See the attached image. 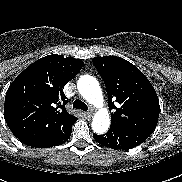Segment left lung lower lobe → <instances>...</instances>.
<instances>
[{"label":"left lung lower lobe","mask_w":182,"mask_h":182,"mask_svg":"<svg viewBox=\"0 0 182 182\" xmlns=\"http://www.w3.org/2000/svg\"><path fill=\"white\" fill-rule=\"evenodd\" d=\"M151 133L128 127L111 125L106 134H93V138L99 144L120 150H129L143 143Z\"/></svg>","instance_id":"0a47b994"}]
</instances>
